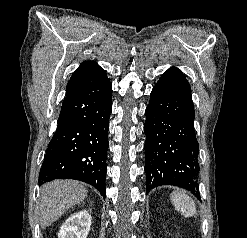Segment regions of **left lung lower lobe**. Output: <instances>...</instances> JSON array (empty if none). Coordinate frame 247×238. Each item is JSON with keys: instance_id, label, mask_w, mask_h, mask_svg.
I'll list each match as a JSON object with an SVG mask.
<instances>
[{"instance_id": "0a47b994", "label": "left lung lower lobe", "mask_w": 247, "mask_h": 238, "mask_svg": "<svg viewBox=\"0 0 247 238\" xmlns=\"http://www.w3.org/2000/svg\"><path fill=\"white\" fill-rule=\"evenodd\" d=\"M145 114L147 191L173 185L200 198L195 112L190 85L179 69L171 67L160 77Z\"/></svg>"}]
</instances>
